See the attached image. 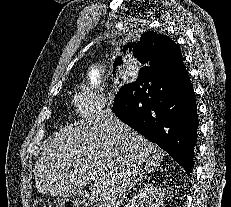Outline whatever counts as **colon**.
<instances>
[{"instance_id":"obj_1","label":"colon","mask_w":231,"mask_h":207,"mask_svg":"<svg viewBox=\"0 0 231 207\" xmlns=\"http://www.w3.org/2000/svg\"><path fill=\"white\" fill-rule=\"evenodd\" d=\"M33 207H80L78 203L65 199V198H58L53 202L47 201H37Z\"/></svg>"}]
</instances>
